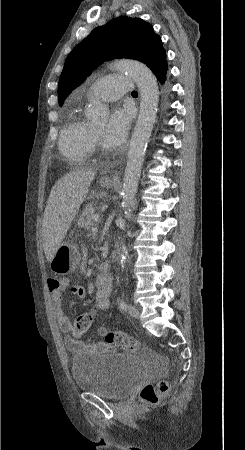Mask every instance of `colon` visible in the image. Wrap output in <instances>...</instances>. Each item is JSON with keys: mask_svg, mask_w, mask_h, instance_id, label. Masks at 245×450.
<instances>
[{"mask_svg": "<svg viewBox=\"0 0 245 450\" xmlns=\"http://www.w3.org/2000/svg\"><path fill=\"white\" fill-rule=\"evenodd\" d=\"M64 281L61 277H50L48 279V285L50 289H59L62 282ZM94 323V314L92 312H84L77 316L74 327L73 334L76 337H80L85 334L89 328ZM105 341L111 344H115L124 350H135L138 348L137 342L131 337L122 332L109 331L105 335ZM171 384L169 381H160L156 385L147 384L143 386L140 391L141 399L149 404L156 405L162 396L170 391Z\"/></svg>", "mask_w": 245, "mask_h": 450, "instance_id": "obj_1", "label": "colon"}]
</instances>
